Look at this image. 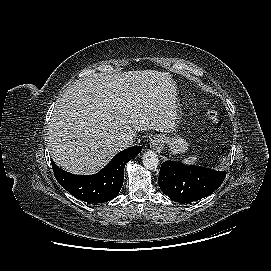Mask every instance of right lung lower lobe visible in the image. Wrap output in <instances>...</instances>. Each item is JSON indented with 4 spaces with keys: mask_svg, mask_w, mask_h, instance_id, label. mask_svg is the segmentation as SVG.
Returning a JSON list of instances; mask_svg holds the SVG:
<instances>
[{
    "mask_svg": "<svg viewBox=\"0 0 271 271\" xmlns=\"http://www.w3.org/2000/svg\"><path fill=\"white\" fill-rule=\"evenodd\" d=\"M140 146L119 152L101 171L93 175H75L59 168L53 161L56 180L74 197L88 203H103L115 198L124 179L125 164L137 156Z\"/></svg>",
    "mask_w": 271,
    "mask_h": 271,
    "instance_id": "1",
    "label": "right lung lower lobe"
}]
</instances>
